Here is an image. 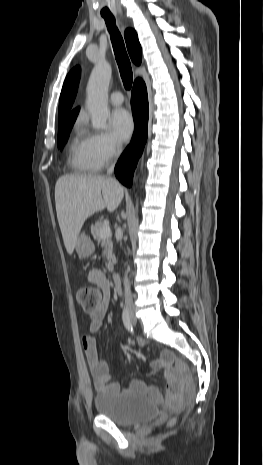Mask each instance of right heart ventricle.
<instances>
[{"mask_svg": "<svg viewBox=\"0 0 263 465\" xmlns=\"http://www.w3.org/2000/svg\"><path fill=\"white\" fill-rule=\"evenodd\" d=\"M69 164L81 172H94L99 169L90 155L88 136L79 125L75 127L70 141Z\"/></svg>", "mask_w": 263, "mask_h": 465, "instance_id": "right-heart-ventricle-1", "label": "right heart ventricle"}]
</instances>
